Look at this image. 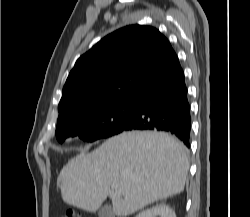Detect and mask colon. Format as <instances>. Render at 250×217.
Returning <instances> with one entry per match:
<instances>
[{
  "label": "colon",
  "instance_id": "colon-1",
  "mask_svg": "<svg viewBox=\"0 0 250 217\" xmlns=\"http://www.w3.org/2000/svg\"><path fill=\"white\" fill-rule=\"evenodd\" d=\"M64 217H76L73 212H67Z\"/></svg>",
  "mask_w": 250,
  "mask_h": 217
}]
</instances>
